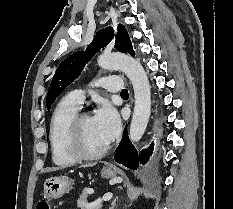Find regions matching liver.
<instances>
[{
    "instance_id": "1",
    "label": "liver",
    "mask_w": 233,
    "mask_h": 209,
    "mask_svg": "<svg viewBox=\"0 0 233 209\" xmlns=\"http://www.w3.org/2000/svg\"><path fill=\"white\" fill-rule=\"evenodd\" d=\"M93 165H83L82 167H92Z\"/></svg>"
}]
</instances>
